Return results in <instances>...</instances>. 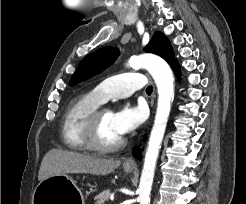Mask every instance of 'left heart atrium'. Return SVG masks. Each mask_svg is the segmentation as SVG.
<instances>
[{"label": "left heart atrium", "instance_id": "left-heart-atrium-1", "mask_svg": "<svg viewBox=\"0 0 246 204\" xmlns=\"http://www.w3.org/2000/svg\"><path fill=\"white\" fill-rule=\"evenodd\" d=\"M146 112L142 106H125L113 114L117 132L123 136L139 127L145 120Z\"/></svg>", "mask_w": 246, "mask_h": 204}]
</instances>
